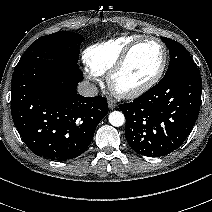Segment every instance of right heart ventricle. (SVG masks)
Instances as JSON below:
<instances>
[{
    "label": "right heart ventricle",
    "instance_id": "right-heart-ventricle-1",
    "mask_svg": "<svg viewBox=\"0 0 212 212\" xmlns=\"http://www.w3.org/2000/svg\"><path fill=\"white\" fill-rule=\"evenodd\" d=\"M138 38L137 35H126L94 44L85 50V61L91 70L99 75H106L123 51Z\"/></svg>",
    "mask_w": 212,
    "mask_h": 212
}]
</instances>
